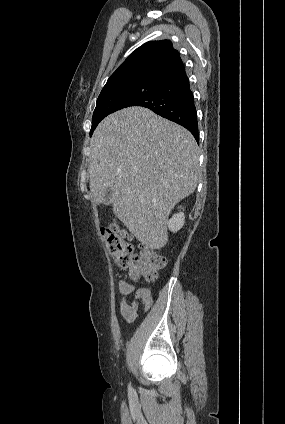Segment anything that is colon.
Listing matches in <instances>:
<instances>
[{"label":"colon","instance_id":"5ec220e1","mask_svg":"<svg viewBox=\"0 0 285 424\" xmlns=\"http://www.w3.org/2000/svg\"><path fill=\"white\" fill-rule=\"evenodd\" d=\"M101 234L116 265L127 269L134 280L154 281L166 266V258L158 251L145 248L137 253L128 241V231L117 222L103 225Z\"/></svg>","mask_w":285,"mask_h":424}]
</instances>
